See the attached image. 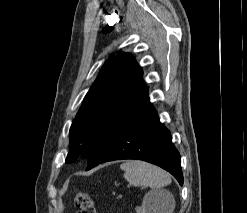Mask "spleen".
Returning <instances> with one entry per match:
<instances>
[{
    "label": "spleen",
    "mask_w": 247,
    "mask_h": 213,
    "mask_svg": "<svg viewBox=\"0 0 247 213\" xmlns=\"http://www.w3.org/2000/svg\"><path fill=\"white\" fill-rule=\"evenodd\" d=\"M124 178L134 186H149L153 189L162 188L171 183V176L163 169L147 162L132 160L120 165ZM174 208V204L170 210Z\"/></svg>",
    "instance_id": "1"
}]
</instances>
